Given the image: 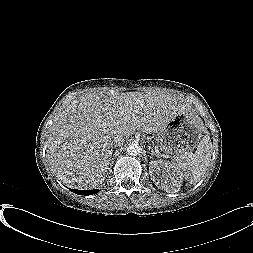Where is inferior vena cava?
Wrapping results in <instances>:
<instances>
[{
    "instance_id": "obj_1",
    "label": "inferior vena cava",
    "mask_w": 253,
    "mask_h": 253,
    "mask_svg": "<svg viewBox=\"0 0 253 253\" xmlns=\"http://www.w3.org/2000/svg\"><path fill=\"white\" fill-rule=\"evenodd\" d=\"M112 145L114 147H119L121 145V139L119 137H114L112 139Z\"/></svg>"
}]
</instances>
